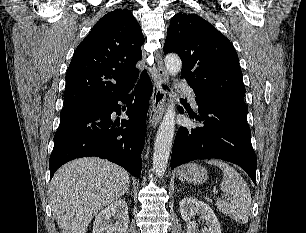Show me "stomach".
<instances>
[{"label":"stomach","mask_w":306,"mask_h":233,"mask_svg":"<svg viewBox=\"0 0 306 233\" xmlns=\"http://www.w3.org/2000/svg\"><path fill=\"white\" fill-rule=\"evenodd\" d=\"M177 176L181 181L199 185L207 180V171L198 164L188 163L179 168Z\"/></svg>","instance_id":"0dacf381"}]
</instances>
